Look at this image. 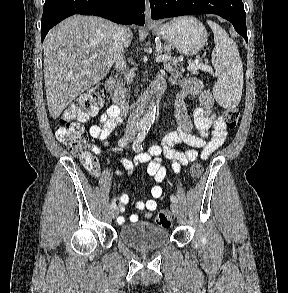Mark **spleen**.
<instances>
[{
	"instance_id": "spleen-1",
	"label": "spleen",
	"mask_w": 288,
	"mask_h": 293,
	"mask_svg": "<svg viewBox=\"0 0 288 293\" xmlns=\"http://www.w3.org/2000/svg\"><path fill=\"white\" fill-rule=\"evenodd\" d=\"M214 34L215 47L212 51V65L218 71L213 87L216 101L224 108L236 107L242 96L243 66L236 43L217 23L207 21Z\"/></svg>"
}]
</instances>
